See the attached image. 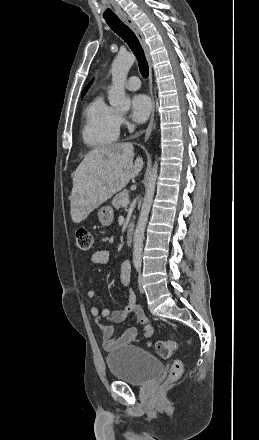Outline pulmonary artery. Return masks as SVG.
<instances>
[{
  "mask_svg": "<svg viewBox=\"0 0 259 440\" xmlns=\"http://www.w3.org/2000/svg\"><path fill=\"white\" fill-rule=\"evenodd\" d=\"M141 86L140 79L137 76H131L126 82V88L129 90H137Z\"/></svg>",
  "mask_w": 259,
  "mask_h": 440,
  "instance_id": "pulmonary-artery-1",
  "label": "pulmonary artery"
}]
</instances>
